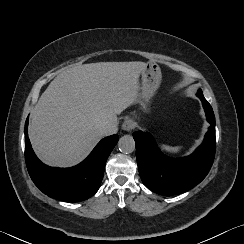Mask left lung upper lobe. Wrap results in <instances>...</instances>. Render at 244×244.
<instances>
[{
    "label": "left lung upper lobe",
    "mask_w": 244,
    "mask_h": 244,
    "mask_svg": "<svg viewBox=\"0 0 244 244\" xmlns=\"http://www.w3.org/2000/svg\"><path fill=\"white\" fill-rule=\"evenodd\" d=\"M197 96L200 98V100L202 101L203 105H206L208 103L207 100L204 98L201 90L198 91ZM213 116L214 115H213V112H212V117Z\"/></svg>",
    "instance_id": "1"
}]
</instances>
